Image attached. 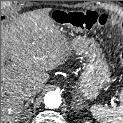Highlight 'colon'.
<instances>
[{"mask_svg": "<svg viewBox=\"0 0 123 123\" xmlns=\"http://www.w3.org/2000/svg\"><path fill=\"white\" fill-rule=\"evenodd\" d=\"M120 62L122 64V66H123V50L120 53Z\"/></svg>", "mask_w": 123, "mask_h": 123, "instance_id": "colon-1", "label": "colon"}]
</instances>
